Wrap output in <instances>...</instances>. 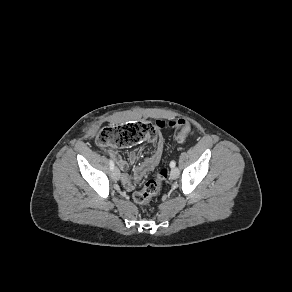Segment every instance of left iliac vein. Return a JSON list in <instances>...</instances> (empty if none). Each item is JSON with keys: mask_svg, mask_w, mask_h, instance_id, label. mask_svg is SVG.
Returning <instances> with one entry per match:
<instances>
[{"mask_svg": "<svg viewBox=\"0 0 292 292\" xmlns=\"http://www.w3.org/2000/svg\"><path fill=\"white\" fill-rule=\"evenodd\" d=\"M179 176V170L178 168H172L170 171V178L171 179H176Z\"/></svg>", "mask_w": 292, "mask_h": 292, "instance_id": "1", "label": "left iliac vein"}]
</instances>
